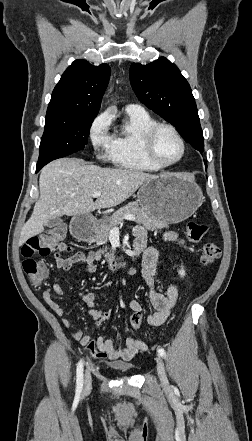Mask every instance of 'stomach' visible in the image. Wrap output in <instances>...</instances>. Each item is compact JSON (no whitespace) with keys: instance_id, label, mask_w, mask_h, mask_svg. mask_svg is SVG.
I'll use <instances>...</instances> for the list:
<instances>
[{"instance_id":"0dacf381","label":"stomach","mask_w":252,"mask_h":441,"mask_svg":"<svg viewBox=\"0 0 252 441\" xmlns=\"http://www.w3.org/2000/svg\"><path fill=\"white\" fill-rule=\"evenodd\" d=\"M138 203L146 214L168 224L180 223L203 202L201 188L179 173H163L142 185Z\"/></svg>"}]
</instances>
